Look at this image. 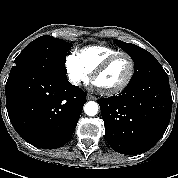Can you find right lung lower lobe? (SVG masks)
Here are the masks:
<instances>
[{"label": "right lung lower lobe", "instance_id": "right-lung-lower-lobe-1", "mask_svg": "<svg viewBox=\"0 0 178 178\" xmlns=\"http://www.w3.org/2000/svg\"><path fill=\"white\" fill-rule=\"evenodd\" d=\"M86 93L57 66L19 67L6 83V107L16 132L29 144L56 149L77 125Z\"/></svg>", "mask_w": 178, "mask_h": 178}]
</instances>
